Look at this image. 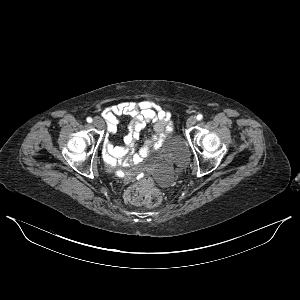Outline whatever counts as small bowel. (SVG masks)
<instances>
[{
	"instance_id": "obj_1",
	"label": "small bowel",
	"mask_w": 300,
	"mask_h": 300,
	"mask_svg": "<svg viewBox=\"0 0 300 300\" xmlns=\"http://www.w3.org/2000/svg\"><path fill=\"white\" fill-rule=\"evenodd\" d=\"M102 115L107 123L110 135L118 131L119 118L129 116L133 120L128 133L124 136L123 145L116 146L109 139L104 145V159L109 169L129 161L141 162L148 153L155 149L172 128L170 113L152 100L123 101L112 107L105 108ZM150 128V135L138 148L136 142L142 131Z\"/></svg>"
}]
</instances>
